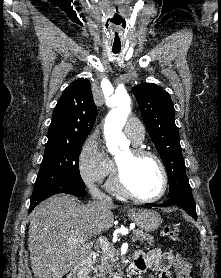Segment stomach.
<instances>
[{"label": "stomach", "instance_id": "obj_1", "mask_svg": "<svg viewBox=\"0 0 221 278\" xmlns=\"http://www.w3.org/2000/svg\"><path fill=\"white\" fill-rule=\"evenodd\" d=\"M128 216L140 229L147 232L155 231L162 223L160 214L154 210L132 208L128 210Z\"/></svg>", "mask_w": 221, "mask_h": 278}]
</instances>
